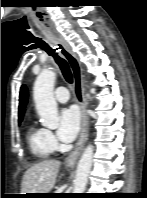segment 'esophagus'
<instances>
[{
    "instance_id": "esophagus-1",
    "label": "esophagus",
    "mask_w": 147,
    "mask_h": 198,
    "mask_svg": "<svg viewBox=\"0 0 147 198\" xmlns=\"http://www.w3.org/2000/svg\"><path fill=\"white\" fill-rule=\"evenodd\" d=\"M59 53L68 62L74 80V94L78 104L80 105L82 115V127L80 138L74 148V150L66 158V165L73 166L76 164L88 137V117L86 114V98L85 89L83 86L82 71L80 63L76 55L71 51L69 45L65 41H61L57 46Z\"/></svg>"
}]
</instances>
